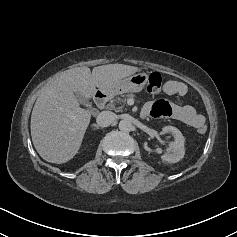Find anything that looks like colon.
Wrapping results in <instances>:
<instances>
[{"label": "colon", "instance_id": "obj_1", "mask_svg": "<svg viewBox=\"0 0 237 237\" xmlns=\"http://www.w3.org/2000/svg\"><path fill=\"white\" fill-rule=\"evenodd\" d=\"M162 88V77L158 72L150 73L146 77V89L150 93H157ZM207 128L206 126H201L198 129V132L201 134H204L206 132Z\"/></svg>", "mask_w": 237, "mask_h": 237}]
</instances>
